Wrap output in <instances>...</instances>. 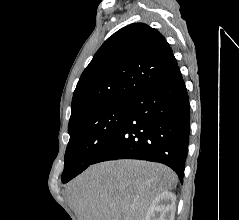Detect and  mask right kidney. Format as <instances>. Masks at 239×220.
<instances>
[{
    "instance_id": "right-kidney-1",
    "label": "right kidney",
    "mask_w": 239,
    "mask_h": 220,
    "mask_svg": "<svg viewBox=\"0 0 239 220\" xmlns=\"http://www.w3.org/2000/svg\"><path fill=\"white\" fill-rule=\"evenodd\" d=\"M176 197L165 191L157 195L151 203L145 220H174Z\"/></svg>"
}]
</instances>
